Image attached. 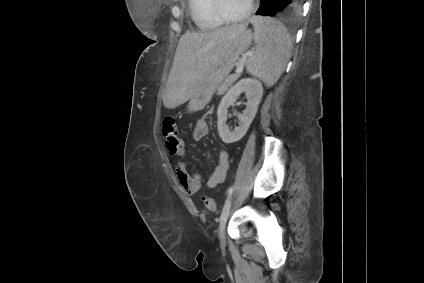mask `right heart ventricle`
I'll use <instances>...</instances> for the list:
<instances>
[{
	"mask_svg": "<svg viewBox=\"0 0 424 283\" xmlns=\"http://www.w3.org/2000/svg\"><path fill=\"white\" fill-rule=\"evenodd\" d=\"M191 18L195 25L203 31L215 30L223 26L214 13L212 0H188Z\"/></svg>",
	"mask_w": 424,
	"mask_h": 283,
	"instance_id": "1",
	"label": "right heart ventricle"
}]
</instances>
